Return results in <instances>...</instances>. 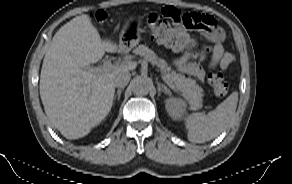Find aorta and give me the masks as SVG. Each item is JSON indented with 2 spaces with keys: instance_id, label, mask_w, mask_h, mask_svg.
<instances>
[{
  "instance_id": "aorta-1",
  "label": "aorta",
  "mask_w": 292,
  "mask_h": 184,
  "mask_svg": "<svg viewBox=\"0 0 292 184\" xmlns=\"http://www.w3.org/2000/svg\"><path fill=\"white\" fill-rule=\"evenodd\" d=\"M151 82L148 79L137 77L133 80L131 88L135 95H147L151 88Z\"/></svg>"
}]
</instances>
